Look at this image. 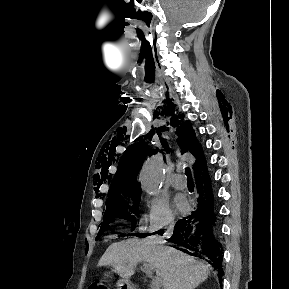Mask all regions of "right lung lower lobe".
<instances>
[{
  "label": "right lung lower lobe",
  "instance_id": "1",
  "mask_svg": "<svg viewBox=\"0 0 289 289\" xmlns=\"http://www.w3.org/2000/svg\"><path fill=\"white\" fill-rule=\"evenodd\" d=\"M197 202L193 211L178 220L170 242L180 246V250L192 256H204L207 262L218 271L221 283L224 274L222 268V245L218 239V222L214 210V200L208 173L196 178ZM163 231H157L162 234Z\"/></svg>",
  "mask_w": 289,
  "mask_h": 289
}]
</instances>
